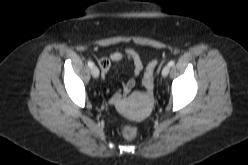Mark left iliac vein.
<instances>
[{"label":"left iliac vein","mask_w":248,"mask_h":165,"mask_svg":"<svg viewBox=\"0 0 248 165\" xmlns=\"http://www.w3.org/2000/svg\"><path fill=\"white\" fill-rule=\"evenodd\" d=\"M169 71H170V66L169 65L164 66L162 69V76L166 77L169 74Z\"/></svg>","instance_id":"1"}]
</instances>
